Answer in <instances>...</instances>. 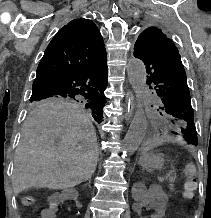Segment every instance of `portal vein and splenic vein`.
<instances>
[{
  "mask_svg": "<svg viewBox=\"0 0 211 218\" xmlns=\"http://www.w3.org/2000/svg\"><path fill=\"white\" fill-rule=\"evenodd\" d=\"M171 175H177V172L170 171L169 174H167L166 178H170Z\"/></svg>",
  "mask_w": 211,
  "mask_h": 218,
  "instance_id": "18ae733b",
  "label": "portal vein and splenic vein"
}]
</instances>
